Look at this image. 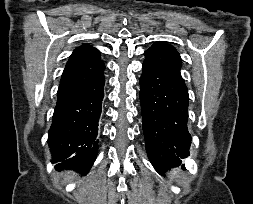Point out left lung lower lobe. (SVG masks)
I'll return each mask as SVG.
<instances>
[{"label": "left lung lower lobe", "mask_w": 253, "mask_h": 204, "mask_svg": "<svg viewBox=\"0 0 253 204\" xmlns=\"http://www.w3.org/2000/svg\"><path fill=\"white\" fill-rule=\"evenodd\" d=\"M144 54L139 81L143 132L148 157L160 173L189 156V95L180 74L181 57L175 49L154 44Z\"/></svg>", "instance_id": "left-lung-lower-lobe-1"}]
</instances>
